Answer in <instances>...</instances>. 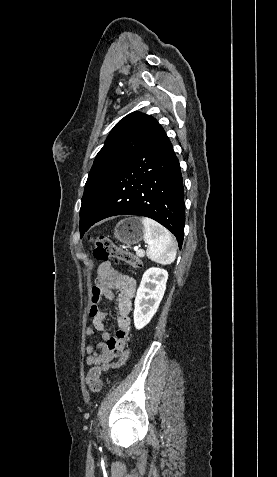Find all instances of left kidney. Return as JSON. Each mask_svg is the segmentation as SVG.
<instances>
[{"label":"left kidney","mask_w":277,"mask_h":477,"mask_svg":"<svg viewBox=\"0 0 277 477\" xmlns=\"http://www.w3.org/2000/svg\"><path fill=\"white\" fill-rule=\"evenodd\" d=\"M168 272L161 268H149L143 274L134 302V325L145 327L155 315L164 296Z\"/></svg>","instance_id":"1"}]
</instances>
